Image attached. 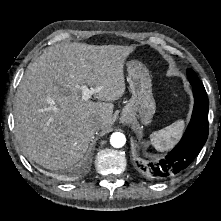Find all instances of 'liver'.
Returning <instances> with one entry per match:
<instances>
[{
    "label": "liver",
    "mask_w": 221,
    "mask_h": 221,
    "mask_svg": "<svg viewBox=\"0 0 221 221\" xmlns=\"http://www.w3.org/2000/svg\"><path fill=\"white\" fill-rule=\"evenodd\" d=\"M135 46L70 43L46 49L17 88L15 132L22 152L46 169L70 167L86 153L95 131L112 124V101L125 92L123 68ZM101 88L98 102L82 100V86Z\"/></svg>",
    "instance_id": "obj_1"
}]
</instances>
